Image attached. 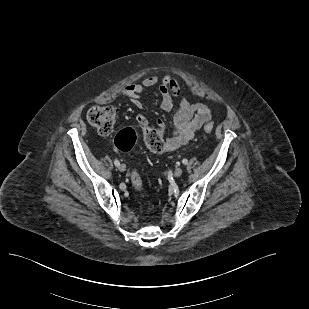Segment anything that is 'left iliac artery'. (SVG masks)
<instances>
[{
  "label": "left iliac artery",
  "instance_id": "44dca946",
  "mask_svg": "<svg viewBox=\"0 0 309 309\" xmlns=\"http://www.w3.org/2000/svg\"><path fill=\"white\" fill-rule=\"evenodd\" d=\"M182 163H183L184 165H186V164L188 163V160H187V159H183V160H182Z\"/></svg>",
  "mask_w": 309,
  "mask_h": 309
}]
</instances>
